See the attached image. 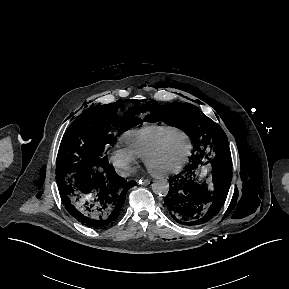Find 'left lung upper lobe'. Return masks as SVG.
Listing matches in <instances>:
<instances>
[{
	"label": "left lung upper lobe",
	"instance_id": "1",
	"mask_svg": "<svg viewBox=\"0 0 289 289\" xmlns=\"http://www.w3.org/2000/svg\"><path fill=\"white\" fill-rule=\"evenodd\" d=\"M147 122L163 121L183 128L194 143L192 159L215 164L219 168L230 167L232 162L228 140L222 128L189 103L173 102L160 106L151 100L141 107Z\"/></svg>",
	"mask_w": 289,
	"mask_h": 289
}]
</instances>
